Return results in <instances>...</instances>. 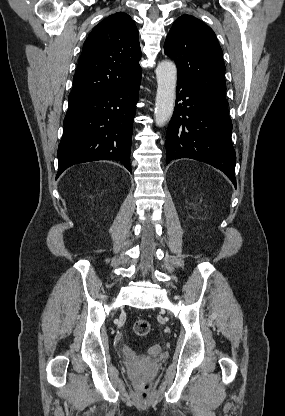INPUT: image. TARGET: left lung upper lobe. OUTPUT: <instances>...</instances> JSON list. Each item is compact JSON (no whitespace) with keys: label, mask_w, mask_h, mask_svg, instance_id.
<instances>
[{"label":"left lung upper lobe","mask_w":285,"mask_h":416,"mask_svg":"<svg viewBox=\"0 0 285 416\" xmlns=\"http://www.w3.org/2000/svg\"><path fill=\"white\" fill-rule=\"evenodd\" d=\"M164 52L178 69V80L225 99V65L215 33L201 20L182 15L167 35Z\"/></svg>","instance_id":"1"}]
</instances>
